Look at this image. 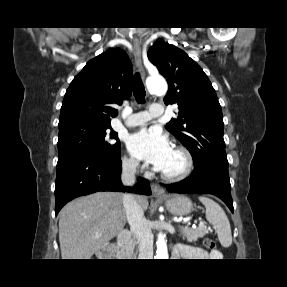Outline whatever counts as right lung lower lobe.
I'll list each match as a JSON object with an SVG mask.
<instances>
[{
	"mask_svg": "<svg viewBox=\"0 0 287 287\" xmlns=\"http://www.w3.org/2000/svg\"><path fill=\"white\" fill-rule=\"evenodd\" d=\"M122 162L74 155L58 160L55 185V214L70 200L98 191L135 192L151 195L149 182L138 178L134 187L121 183Z\"/></svg>",
	"mask_w": 287,
	"mask_h": 287,
	"instance_id": "right-lung-lower-lobe-1",
	"label": "right lung lower lobe"
}]
</instances>
